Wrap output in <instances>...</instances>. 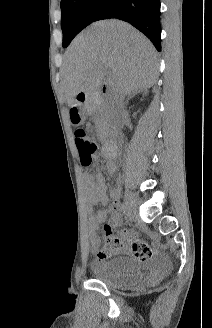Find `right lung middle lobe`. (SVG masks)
Instances as JSON below:
<instances>
[{"label":"right lung middle lobe","mask_w":212,"mask_h":328,"mask_svg":"<svg viewBox=\"0 0 212 328\" xmlns=\"http://www.w3.org/2000/svg\"><path fill=\"white\" fill-rule=\"evenodd\" d=\"M104 0H61L63 47L93 22L95 12Z\"/></svg>","instance_id":"dd1d6c3e"}]
</instances>
